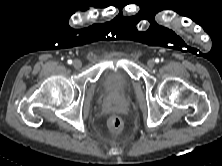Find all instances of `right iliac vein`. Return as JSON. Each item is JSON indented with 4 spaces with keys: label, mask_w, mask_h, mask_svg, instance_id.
<instances>
[{
    "label": "right iliac vein",
    "mask_w": 222,
    "mask_h": 166,
    "mask_svg": "<svg viewBox=\"0 0 222 166\" xmlns=\"http://www.w3.org/2000/svg\"><path fill=\"white\" fill-rule=\"evenodd\" d=\"M73 66H74V68L79 69V68H81L82 63L80 60H74Z\"/></svg>",
    "instance_id": "right-iliac-vein-1"
}]
</instances>
